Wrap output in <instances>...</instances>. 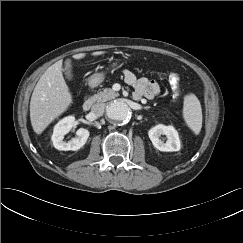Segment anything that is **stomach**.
<instances>
[{
	"label": "stomach",
	"instance_id": "0dacf381",
	"mask_svg": "<svg viewBox=\"0 0 243 243\" xmlns=\"http://www.w3.org/2000/svg\"><path fill=\"white\" fill-rule=\"evenodd\" d=\"M117 65H118L117 63H113V64H111V67L114 68ZM103 80H104V74L96 73L90 77L89 85L92 87H95V86L99 85Z\"/></svg>",
	"mask_w": 243,
	"mask_h": 243
}]
</instances>
